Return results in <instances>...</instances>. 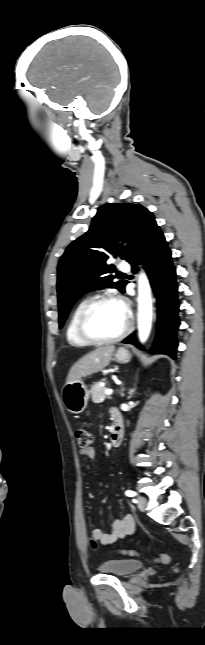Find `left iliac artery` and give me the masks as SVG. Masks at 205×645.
<instances>
[{"instance_id": "1", "label": "left iliac artery", "mask_w": 205, "mask_h": 645, "mask_svg": "<svg viewBox=\"0 0 205 645\" xmlns=\"http://www.w3.org/2000/svg\"><path fill=\"white\" fill-rule=\"evenodd\" d=\"M126 495L129 496V497H134V496L137 495V493L135 491H132V490H127Z\"/></svg>"}]
</instances>
